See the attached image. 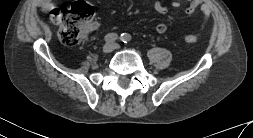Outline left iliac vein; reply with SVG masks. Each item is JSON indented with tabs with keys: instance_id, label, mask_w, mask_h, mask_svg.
Wrapping results in <instances>:
<instances>
[{
	"instance_id": "obj_1",
	"label": "left iliac vein",
	"mask_w": 253,
	"mask_h": 138,
	"mask_svg": "<svg viewBox=\"0 0 253 138\" xmlns=\"http://www.w3.org/2000/svg\"><path fill=\"white\" fill-rule=\"evenodd\" d=\"M119 47H120L119 45L114 44V48H115V49H118Z\"/></svg>"
}]
</instances>
